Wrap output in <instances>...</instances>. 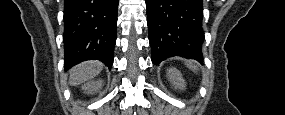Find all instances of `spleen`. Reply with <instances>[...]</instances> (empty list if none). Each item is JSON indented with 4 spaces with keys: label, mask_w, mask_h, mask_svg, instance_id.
Returning a JSON list of instances; mask_svg holds the SVG:
<instances>
[{
    "label": "spleen",
    "mask_w": 285,
    "mask_h": 115,
    "mask_svg": "<svg viewBox=\"0 0 285 115\" xmlns=\"http://www.w3.org/2000/svg\"><path fill=\"white\" fill-rule=\"evenodd\" d=\"M187 67H189L191 70H193L194 72L198 71V67L193 63V62H187Z\"/></svg>",
    "instance_id": "obj_1"
}]
</instances>
